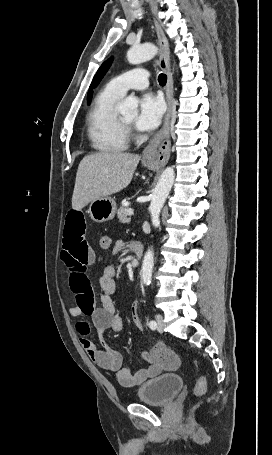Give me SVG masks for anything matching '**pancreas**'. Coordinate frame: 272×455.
Listing matches in <instances>:
<instances>
[{"label":"pancreas","mask_w":272,"mask_h":455,"mask_svg":"<svg viewBox=\"0 0 272 455\" xmlns=\"http://www.w3.org/2000/svg\"><path fill=\"white\" fill-rule=\"evenodd\" d=\"M127 211H128V208L122 206L119 208V210L117 212L119 221L123 224L130 222V218L127 214Z\"/></svg>","instance_id":"pancreas-1"}]
</instances>
